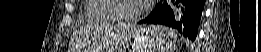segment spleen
Wrapping results in <instances>:
<instances>
[{
    "label": "spleen",
    "mask_w": 261,
    "mask_h": 52,
    "mask_svg": "<svg viewBox=\"0 0 261 52\" xmlns=\"http://www.w3.org/2000/svg\"><path fill=\"white\" fill-rule=\"evenodd\" d=\"M158 39L157 49L158 52H172L174 48V33L173 31L167 32L164 27L152 26Z\"/></svg>",
    "instance_id": "3e777b00"
}]
</instances>
